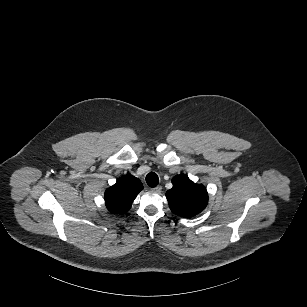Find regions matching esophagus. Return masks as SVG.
<instances>
[{
  "label": "esophagus",
  "mask_w": 307,
  "mask_h": 307,
  "mask_svg": "<svg viewBox=\"0 0 307 307\" xmlns=\"http://www.w3.org/2000/svg\"><path fill=\"white\" fill-rule=\"evenodd\" d=\"M162 190V187L160 185H158L157 187L152 188V191L155 193H160Z\"/></svg>",
  "instance_id": "esophagus-1"
}]
</instances>
